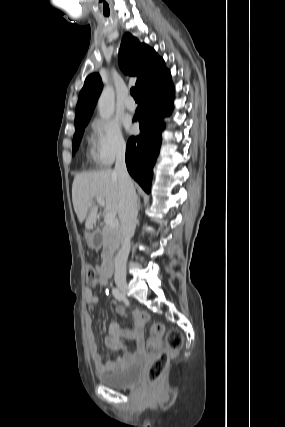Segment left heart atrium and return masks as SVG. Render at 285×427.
Segmentation results:
<instances>
[{
	"label": "left heart atrium",
	"instance_id": "obj_1",
	"mask_svg": "<svg viewBox=\"0 0 285 427\" xmlns=\"http://www.w3.org/2000/svg\"><path fill=\"white\" fill-rule=\"evenodd\" d=\"M126 128H127L129 131H131V130H132V125H131L129 122H127V123H126Z\"/></svg>",
	"mask_w": 285,
	"mask_h": 427
}]
</instances>
